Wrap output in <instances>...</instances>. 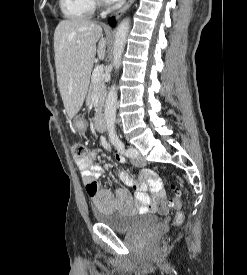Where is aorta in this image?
<instances>
[{
  "label": "aorta",
  "mask_w": 247,
  "mask_h": 275,
  "mask_svg": "<svg viewBox=\"0 0 247 275\" xmlns=\"http://www.w3.org/2000/svg\"><path fill=\"white\" fill-rule=\"evenodd\" d=\"M129 28H130L129 19H124L117 27V30L115 33L112 65L116 71L119 70V67L121 65V58L126 45V39L129 32ZM116 106H117V88H116V85L113 84L109 90V93L106 99V104H105V111H104L107 131H108L110 140L117 139L116 130H115Z\"/></svg>",
  "instance_id": "1"
}]
</instances>
